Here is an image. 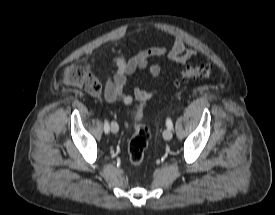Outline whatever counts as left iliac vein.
Returning a JSON list of instances; mask_svg holds the SVG:
<instances>
[{
    "label": "left iliac vein",
    "mask_w": 275,
    "mask_h": 215,
    "mask_svg": "<svg viewBox=\"0 0 275 215\" xmlns=\"http://www.w3.org/2000/svg\"><path fill=\"white\" fill-rule=\"evenodd\" d=\"M172 129L171 128H167L164 132H163V137L165 140H170L172 138Z\"/></svg>",
    "instance_id": "4c4485c4"
}]
</instances>
